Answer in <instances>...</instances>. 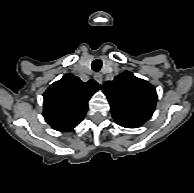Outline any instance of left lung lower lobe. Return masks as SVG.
Returning <instances> with one entry per match:
<instances>
[{"label":"left lung lower lobe","mask_w":194,"mask_h":193,"mask_svg":"<svg viewBox=\"0 0 194 193\" xmlns=\"http://www.w3.org/2000/svg\"><path fill=\"white\" fill-rule=\"evenodd\" d=\"M123 127H126V128H136V127H132V126H128V125H121Z\"/></svg>","instance_id":"obj_1"}]
</instances>
